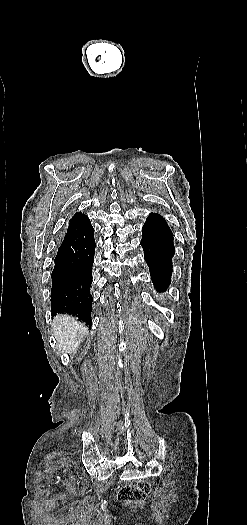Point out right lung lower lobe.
Instances as JSON below:
<instances>
[{
  "instance_id": "right-lung-lower-lobe-1",
  "label": "right lung lower lobe",
  "mask_w": 247,
  "mask_h": 525,
  "mask_svg": "<svg viewBox=\"0 0 247 525\" xmlns=\"http://www.w3.org/2000/svg\"><path fill=\"white\" fill-rule=\"evenodd\" d=\"M95 246L94 229L91 223L63 239L51 274L53 316L58 313H68L91 327L93 297L90 294V287Z\"/></svg>"
}]
</instances>
